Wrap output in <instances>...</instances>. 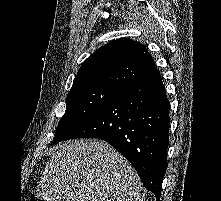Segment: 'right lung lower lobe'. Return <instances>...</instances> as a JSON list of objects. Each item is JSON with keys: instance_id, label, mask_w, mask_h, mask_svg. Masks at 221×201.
I'll return each instance as SVG.
<instances>
[{"instance_id": "obj_1", "label": "right lung lower lobe", "mask_w": 221, "mask_h": 201, "mask_svg": "<svg viewBox=\"0 0 221 201\" xmlns=\"http://www.w3.org/2000/svg\"><path fill=\"white\" fill-rule=\"evenodd\" d=\"M170 102L155 68L121 88L68 136L108 142L135 168L143 185L160 201L167 169Z\"/></svg>"}]
</instances>
